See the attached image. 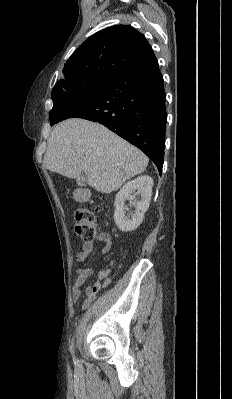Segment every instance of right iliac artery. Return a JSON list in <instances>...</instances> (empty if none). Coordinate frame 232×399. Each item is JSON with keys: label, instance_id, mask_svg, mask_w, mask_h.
<instances>
[{"label": "right iliac artery", "instance_id": "obj_1", "mask_svg": "<svg viewBox=\"0 0 232 399\" xmlns=\"http://www.w3.org/2000/svg\"><path fill=\"white\" fill-rule=\"evenodd\" d=\"M72 348H73V344H72V346H71ZM73 351V350H72ZM73 359H74V363L75 364H77L78 363V361L76 360V358L75 357H73Z\"/></svg>", "mask_w": 232, "mask_h": 399}]
</instances>
